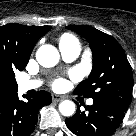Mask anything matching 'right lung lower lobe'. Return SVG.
Returning <instances> with one entry per match:
<instances>
[{
    "label": "right lung lower lobe",
    "instance_id": "right-lung-lower-lobe-1",
    "mask_svg": "<svg viewBox=\"0 0 136 136\" xmlns=\"http://www.w3.org/2000/svg\"><path fill=\"white\" fill-rule=\"evenodd\" d=\"M27 102L20 101L13 93L0 98V136H28L37 123V112L43 105H49L52 97L49 92L38 91Z\"/></svg>",
    "mask_w": 136,
    "mask_h": 136
}]
</instances>
